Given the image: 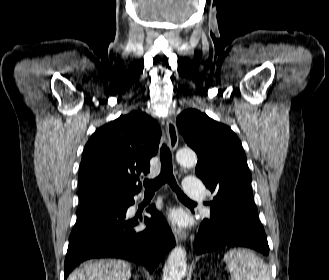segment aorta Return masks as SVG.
<instances>
[{"label":"aorta","instance_id":"762f6f07","mask_svg":"<svg viewBox=\"0 0 329 280\" xmlns=\"http://www.w3.org/2000/svg\"><path fill=\"white\" fill-rule=\"evenodd\" d=\"M176 159L183 167H193L197 163V156L192 150H179ZM186 266V251L183 247L176 246L169 254L162 280H182L186 273Z\"/></svg>","mask_w":329,"mask_h":280}]
</instances>
